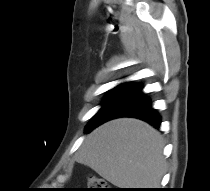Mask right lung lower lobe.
Listing matches in <instances>:
<instances>
[{
	"instance_id": "right-lung-lower-lobe-1",
	"label": "right lung lower lobe",
	"mask_w": 210,
	"mask_h": 191,
	"mask_svg": "<svg viewBox=\"0 0 210 191\" xmlns=\"http://www.w3.org/2000/svg\"><path fill=\"white\" fill-rule=\"evenodd\" d=\"M118 117L138 118L155 128H159L161 123L160 115L152 108L148 97L142 92V87L131 82L120 84L112 90L109 98L97 113L95 125L88 132Z\"/></svg>"
}]
</instances>
